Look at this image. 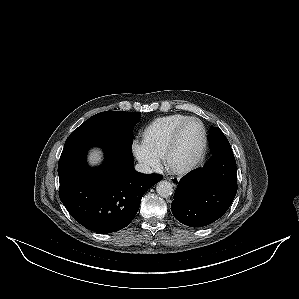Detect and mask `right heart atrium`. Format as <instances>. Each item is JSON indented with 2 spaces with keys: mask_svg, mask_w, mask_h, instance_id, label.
Returning a JSON list of instances; mask_svg holds the SVG:
<instances>
[{
  "mask_svg": "<svg viewBox=\"0 0 299 299\" xmlns=\"http://www.w3.org/2000/svg\"><path fill=\"white\" fill-rule=\"evenodd\" d=\"M134 157L148 171L156 170L160 167V158L152 154L143 142L135 140L131 147Z\"/></svg>",
  "mask_w": 299,
  "mask_h": 299,
  "instance_id": "1",
  "label": "right heart atrium"
}]
</instances>
